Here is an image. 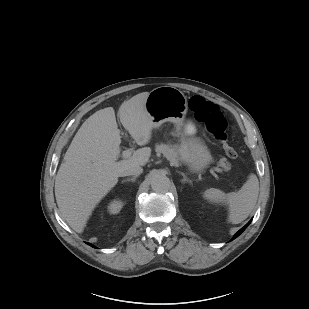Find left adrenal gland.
I'll list each match as a JSON object with an SVG mask.
<instances>
[{
	"label": "left adrenal gland",
	"mask_w": 309,
	"mask_h": 309,
	"mask_svg": "<svg viewBox=\"0 0 309 309\" xmlns=\"http://www.w3.org/2000/svg\"><path fill=\"white\" fill-rule=\"evenodd\" d=\"M178 173L183 176V179L181 180L182 183L188 182V183L192 184V181L190 179H188L184 173H182V172H178Z\"/></svg>",
	"instance_id": "1"
}]
</instances>
